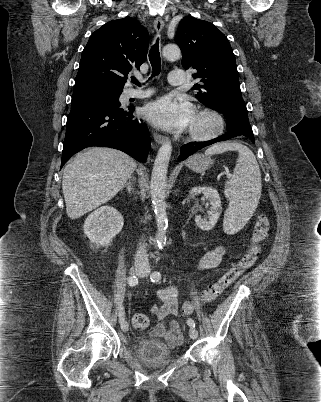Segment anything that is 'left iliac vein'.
Wrapping results in <instances>:
<instances>
[{
    "mask_svg": "<svg viewBox=\"0 0 321 402\" xmlns=\"http://www.w3.org/2000/svg\"><path fill=\"white\" fill-rule=\"evenodd\" d=\"M147 275H148V271H144V272L141 274V277H147ZM189 335H190V337H191L192 339H197V337H198V331H197L194 327H191L190 330H189Z\"/></svg>",
    "mask_w": 321,
    "mask_h": 402,
    "instance_id": "left-iliac-vein-1",
    "label": "left iliac vein"
}]
</instances>
